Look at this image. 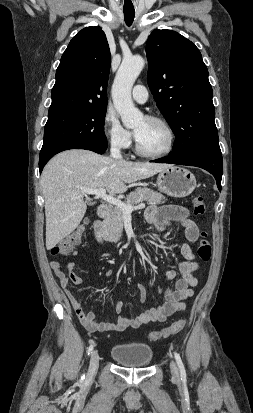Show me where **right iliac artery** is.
Instances as JSON below:
<instances>
[{"label": "right iliac artery", "instance_id": "82829eb1", "mask_svg": "<svg viewBox=\"0 0 253 413\" xmlns=\"http://www.w3.org/2000/svg\"><path fill=\"white\" fill-rule=\"evenodd\" d=\"M93 345H90L89 347H88V350H87V353H88V355L90 354V353H92V350H93ZM85 379V375H82L81 376V380H84Z\"/></svg>", "mask_w": 253, "mask_h": 413}]
</instances>
